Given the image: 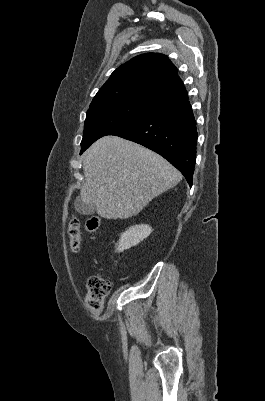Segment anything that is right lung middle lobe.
Returning <instances> with one entry per match:
<instances>
[{"label":"right lung middle lobe","mask_w":265,"mask_h":401,"mask_svg":"<svg viewBox=\"0 0 265 401\" xmlns=\"http://www.w3.org/2000/svg\"><path fill=\"white\" fill-rule=\"evenodd\" d=\"M162 106L146 100H125L90 106L84 124L81 153L97 139L148 116Z\"/></svg>","instance_id":"1"}]
</instances>
